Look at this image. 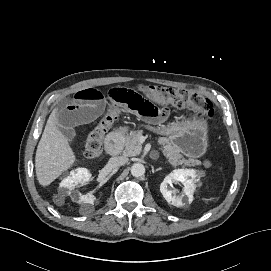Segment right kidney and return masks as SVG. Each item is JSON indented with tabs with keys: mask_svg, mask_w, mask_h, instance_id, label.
Returning a JSON list of instances; mask_svg holds the SVG:
<instances>
[{
	"mask_svg": "<svg viewBox=\"0 0 271 271\" xmlns=\"http://www.w3.org/2000/svg\"><path fill=\"white\" fill-rule=\"evenodd\" d=\"M91 173L86 168H77L75 170H72L70 172V175L64 178L60 185L59 190L66 194L70 195L73 200H75L78 203H88V204H94L96 198L92 194H81L76 191H74L75 186L78 183H86L90 180Z\"/></svg>",
	"mask_w": 271,
	"mask_h": 271,
	"instance_id": "1",
	"label": "right kidney"
}]
</instances>
